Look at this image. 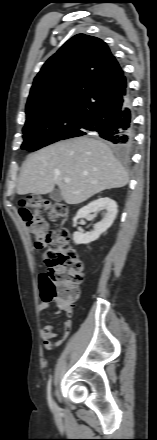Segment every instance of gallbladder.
I'll use <instances>...</instances> for the list:
<instances>
[{"label":"gallbladder","mask_w":157,"mask_h":440,"mask_svg":"<svg viewBox=\"0 0 157 440\" xmlns=\"http://www.w3.org/2000/svg\"><path fill=\"white\" fill-rule=\"evenodd\" d=\"M49 196L52 200L57 201V202L62 200L61 192L58 189L53 190Z\"/></svg>","instance_id":"gallbladder-1"}]
</instances>
